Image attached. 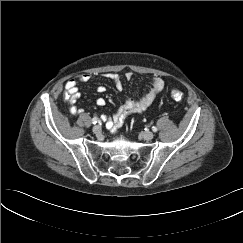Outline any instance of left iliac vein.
I'll return each instance as SVG.
<instances>
[{"label": "left iliac vein", "mask_w": 243, "mask_h": 243, "mask_svg": "<svg viewBox=\"0 0 243 243\" xmlns=\"http://www.w3.org/2000/svg\"><path fill=\"white\" fill-rule=\"evenodd\" d=\"M141 136L145 140H151V139H153L154 134L150 131H145V132H142Z\"/></svg>", "instance_id": "left-iliac-vein-1"}]
</instances>
